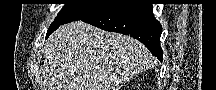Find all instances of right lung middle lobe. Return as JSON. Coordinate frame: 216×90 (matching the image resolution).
Returning <instances> with one entry per match:
<instances>
[{
    "mask_svg": "<svg viewBox=\"0 0 216 90\" xmlns=\"http://www.w3.org/2000/svg\"><path fill=\"white\" fill-rule=\"evenodd\" d=\"M115 4H66L51 23L46 38L60 25L82 20L106 11Z\"/></svg>",
    "mask_w": 216,
    "mask_h": 90,
    "instance_id": "1",
    "label": "right lung middle lobe"
}]
</instances>
